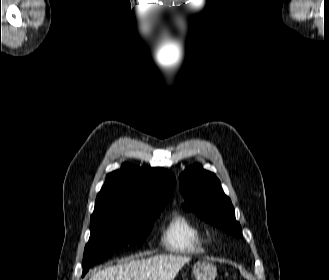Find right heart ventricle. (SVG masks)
<instances>
[{
    "instance_id": "e07e8e85",
    "label": "right heart ventricle",
    "mask_w": 329,
    "mask_h": 280,
    "mask_svg": "<svg viewBox=\"0 0 329 280\" xmlns=\"http://www.w3.org/2000/svg\"><path fill=\"white\" fill-rule=\"evenodd\" d=\"M165 247L175 253L198 254L205 250V236L185 215L175 214L163 235Z\"/></svg>"
}]
</instances>
